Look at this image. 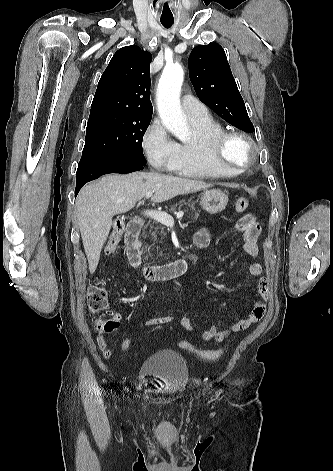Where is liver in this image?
I'll return each instance as SVG.
<instances>
[{
    "instance_id": "1",
    "label": "liver",
    "mask_w": 333,
    "mask_h": 471,
    "mask_svg": "<svg viewBox=\"0 0 333 471\" xmlns=\"http://www.w3.org/2000/svg\"><path fill=\"white\" fill-rule=\"evenodd\" d=\"M212 185L154 172L105 175L83 187L76 199V216L90 273H94L106 242L112 218L131 210L147 192L151 201L160 203L177 195L197 192Z\"/></svg>"
}]
</instances>
